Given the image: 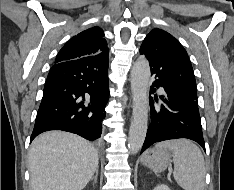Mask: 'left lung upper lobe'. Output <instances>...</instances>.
Masks as SVG:
<instances>
[{"label": "left lung upper lobe", "mask_w": 234, "mask_h": 190, "mask_svg": "<svg viewBox=\"0 0 234 190\" xmlns=\"http://www.w3.org/2000/svg\"><path fill=\"white\" fill-rule=\"evenodd\" d=\"M141 48L165 54L173 84L186 96L197 102L193 68L186 50L178 40L168 32L155 28L146 36Z\"/></svg>", "instance_id": "1"}]
</instances>
